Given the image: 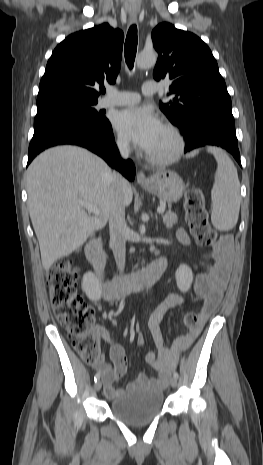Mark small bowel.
Returning a JSON list of instances; mask_svg holds the SVG:
<instances>
[{
	"label": "small bowel",
	"instance_id": "obj_1",
	"mask_svg": "<svg viewBox=\"0 0 263 465\" xmlns=\"http://www.w3.org/2000/svg\"><path fill=\"white\" fill-rule=\"evenodd\" d=\"M181 243L187 244L190 241L188 233L180 229L177 233ZM214 264L205 272L198 273L194 281V290L196 296L187 298L180 294H170L166 296L152 312L148 327L153 340L158 348V353L147 352L145 361L154 370L158 372V376L151 378L145 374H140L135 381L130 383L124 389H116L114 382L124 376L127 370V357L123 347L110 339L107 332L100 329L99 334L110 342V358L113 366L106 363H101L99 373H101L104 381V392L108 398H115L125 391L132 390L136 387H152L155 389H163L168 381V377L172 370L175 369L180 354L188 349L195 341L199 334H204L206 319L219 305L223 293L227 287L231 262L229 256V244H223L213 251ZM104 299L113 304L115 298L107 295ZM187 303H201V323L197 329L190 331L188 334L178 337L171 348L163 346V335L160 324L164 315L173 308L183 306ZM137 344L143 346L145 339L142 334L137 336Z\"/></svg>",
	"mask_w": 263,
	"mask_h": 465
}]
</instances>
